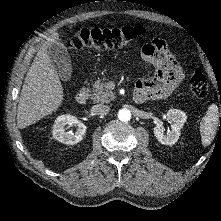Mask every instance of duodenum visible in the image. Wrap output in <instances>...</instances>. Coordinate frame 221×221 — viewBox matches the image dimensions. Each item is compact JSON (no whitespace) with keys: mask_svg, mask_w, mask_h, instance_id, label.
Here are the masks:
<instances>
[{"mask_svg":"<svg viewBox=\"0 0 221 221\" xmlns=\"http://www.w3.org/2000/svg\"><path fill=\"white\" fill-rule=\"evenodd\" d=\"M88 99V91L86 89L80 90L76 95V101L79 104H84ZM133 99L136 103H143L147 100L142 93L134 92Z\"/></svg>","mask_w":221,"mask_h":221,"instance_id":"1","label":"duodenum"}]
</instances>
